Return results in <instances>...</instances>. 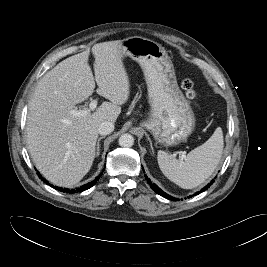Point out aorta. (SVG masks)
Wrapping results in <instances>:
<instances>
[{
  "mask_svg": "<svg viewBox=\"0 0 267 267\" xmlns=\"http://www.w3.org/2000/svg\"><path fill=\"white\" fill-rule=\"evenodd\" d=\"M119 145L122 147H131L134 144V138L131 134H122L118 139Z\"/></svg>",
  "mask_w": 267,
  "mask_h": 267,
  "instance_id": "aorta-1",
  "label": "aorta"
}]
</instances>
